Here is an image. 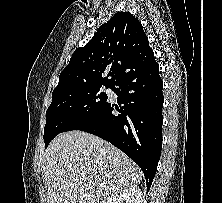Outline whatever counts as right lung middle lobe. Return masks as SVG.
Instances as JSON below:
<instances>
[{
    "label": "right lung middle lobe",
    "instance_id": "obj_1",
    "mask_svg": "<svg viewBox=\"0 0 222 203\" xmlns=\"http://www.w3.org/2000/svg\"><path fill=\"white\" fill-rule=\"evenodd\" d=\"M101 86L84 85L52 93V103L46 112L45 147L68 126L88 116L107 101L108 97L102 92Z\"/></svg>",
    "mask_w": 222,
    "mask_h": 203
}]
</instances>
